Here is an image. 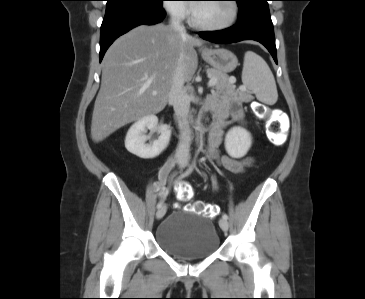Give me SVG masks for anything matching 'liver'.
Returning a JSON list of instances; mask_svg holds the SVG:
<instances>
[{
  "instance_id": "6515ba94",
  "label": "liver",
  "mask_w": 365,
  "mask_h": 299,
  "mask_svg": "<svg viewBox=\"0 0 365 299\" xmlns=\"http://www.w3.org/2000/svg\"><path fill=\"white\" fill-rule=\"evenodd\" d=\"M202 40L163 24L139 26L119 37L102 62V79L91 123L100 142L126 124L164 109L182 58L184 82L198 67L195 46ZM157 92L153 95V92Z\"/></svg>"
}]
</instances>
